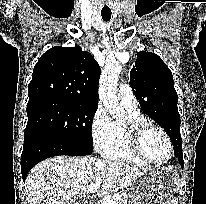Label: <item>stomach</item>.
Listing matches in <instances>:
<instances>
[{"label":"stomach","instance_id":"1","mask_svg":"<svg viewBox=\"0 0 206 204\" xmlns=\"http://www.w3.org/2000/svg\"><path fill=\"white\" fill-rule=\"evenodd\" d=\"M179 178L172 167L151 168L126 187L129 204H171Z\"/></svg>","mask_w":206,"mask_h":204}]
</instances>
